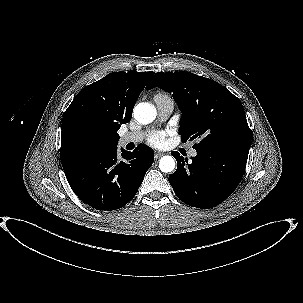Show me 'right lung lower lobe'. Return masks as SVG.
I'll use <instances>...</instances> for the list:
<instances>
[{"instance_id": "98d812e1", "label": "right lung lower lobe", "mask_w": 303, "mask_h": 303, "mask_svg": "<svg viewBox=\"0 0 303 303\" xmlns=\"http://www.w3.org/2000/svg\"><path fill=\"white\" fill-rule=\"evenodd\" d=\"M108 149L64 170L73 192L84 203L99 210H116L137 193L154 159L152 150L140 144L133 152Z\"/></svg>"}]
</instances>
